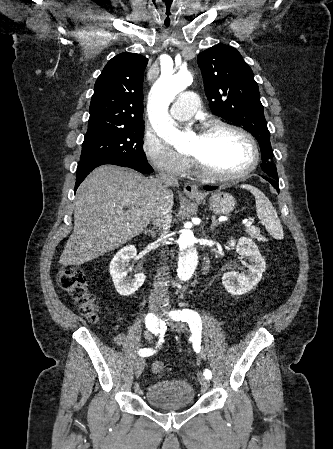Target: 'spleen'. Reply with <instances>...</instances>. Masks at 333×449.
Returning a JSON list of instances; mask_svg holds the SVG:
<instances>
[{"mask_svg":"<svg viewBox=\"0 0 333 449\" xmlns=\"http://www.w3.org/2000/svg\"><path fill=\"white\" fill-rule=\"evenodd\" d=\"M255 197L256 212L258 218L262 221L270 235L281 240L284 236L281 221L272 203L258 188L251 185H244Z\"/></svg>","mask_w":333,"mask_h":449,"instance_id":"obj_1","label":"spleen"}]
</instances>
